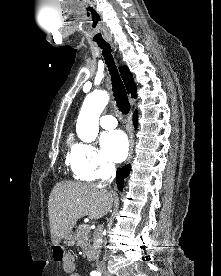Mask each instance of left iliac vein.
Here are the masks:
<instances>
[{"instance_id": "obj_1", "label": "left iliac vein", "mask_w": 221, "mask_h": 276, "mask_svg": "<svg viewBox=\"0 0 221 276\" xmlns=\"http://www.w3.org/2000/svg\"><path fill=\"white\" fill-rule=\"evenodd\" d=\"M104 276H110V274H108L107 272L104 273Z\"/></svg>"}]
</instances>
